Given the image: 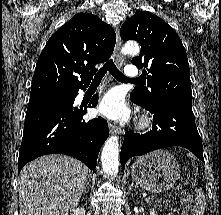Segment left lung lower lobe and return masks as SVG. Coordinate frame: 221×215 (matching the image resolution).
I'll return each instance as SVG.
<instances>
[{"label":"left lung lower lobe","mask_w":221,"mask_h":215,"mask_svg":"<svg viewBox=\"0 0 221 215\" xmlns=\"http://www.w3.org/2000/svg\"><path fill=\"white\" fill-rule=\"evenodd\" d=\"M132 101L136 103L133 99ZM142 107L154 113L153 128L152 131L141 135L125 133L120 155L122 168L133 156H141L170 146L185 147L204 162L202 142L192 109L177 106Z\"/></svg>","instance_id":"left-lung-lower-lobe-1"}]
</instances>
